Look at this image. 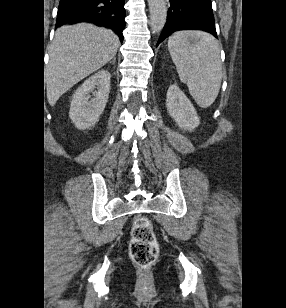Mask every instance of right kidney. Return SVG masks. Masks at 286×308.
Wrapping results in <instances>:
<instances>
[{
  "label": "right kidney",
  "instance_id": "ca27d5eb",
  "mask_svg": "<svg viewBox=\"0 0 286 308\" xmlns=\"http://www.w3.org/2000/svg\"><path fill=\"white\" fill-rule=\"evenodd\" d=\"M111 74L101 70L87 79L73 94L69 117L81 130L92 128L103 113L110 92ZM97 88V91L94 89ZM90 93L94 96L91 98Z\"/></svg>",
  "mask_w": 286,
  "mask_h": 308
}]
</instances>
